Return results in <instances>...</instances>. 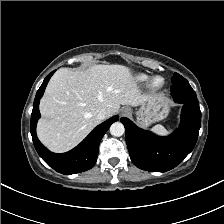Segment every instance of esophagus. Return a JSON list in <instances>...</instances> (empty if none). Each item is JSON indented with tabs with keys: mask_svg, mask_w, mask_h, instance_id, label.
<instances>
[{
	"mask_svg": "<svg viewBox=\"0 0 224 224\" xmlns=\"http://www.w3.org/2000/svg\"><path fill=\"white\" fill-rule=\"evenodd\" d=\"M130 113V108L129 107H127V106H125V107H122L121 109H120V114L123 116V115H127V114H129Z\"/></svg>",
	"mask_w": 224,
	"mask_h": 224,
	"instance_id": "obj_1",
	"label": "esophagus"
}]
</instances>
